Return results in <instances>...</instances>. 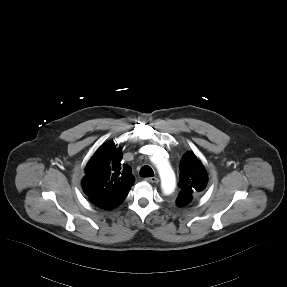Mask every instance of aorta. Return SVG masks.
<instances>
[{"mask_svg": "<svg viewBox=\"0 0 287 287\" xmlns=\"http://www.w3.org/2000/svg\"><path fill=\"white\" fill-rule=\"evenodd\" d=\"M157 168L161 177V185L164 193H171L175 187V175L172 169L162 159L157 162Z\"/></svg>", "mask_w": 287, "mask_h": 287, "instance_id": "762f6f07", "label": "aorta"}]
</instances>
